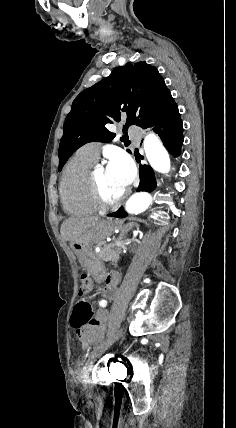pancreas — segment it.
Masks as SVG:
<instances>
[{"label":"pancreas","mask_w":236,"mask_h":428,"mask_svg":"<svg viewBox=\"0 0 236 428\" xmlns=\"http://www.w3.org/2000/svg\"><path fill=\"white\" fill-rule=\"evenodd\" d=\"M99 258L104 260V262H111L116 258V248L114 244H104L102 248H100V252H97Z\"/></svg>","instance_id":"cf45deb5"}]
</instances>
